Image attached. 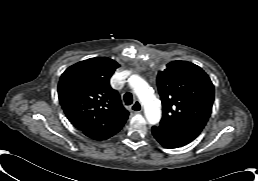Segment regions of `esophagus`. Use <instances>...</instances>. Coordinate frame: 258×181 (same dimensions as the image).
<instances>
[{
    "mask_svg": "<svg viewBox=\"0 0 258 181\" xmlns=\"http://www.w3.org/2000/svg\"><path fill=\"white\" fill-rule=\"evenodd\" d=\"M143 107L140 101H135L134 104L131 106V111L134 113H140Z\"/></svg>",
    "mask_w": 258,
    "mask_h": 181,
    "instance_id": "obj_1",
    "label": "esophagus"
}]
</instances>
